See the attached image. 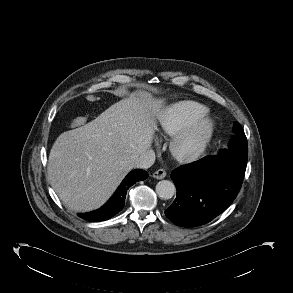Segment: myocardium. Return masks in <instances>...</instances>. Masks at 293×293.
Segmentation results:
<instances>
[{
	"mask_svg": "<svg viewBox=\"0 0 293 293\" xmlns=\"http://www.w3.org/2000/svg\"><path fill=\"white\" fill-rule=\"evenodd\" d=\"M215 129L214 121L203 116L176 133L170 143L172 156L181 163L197 160L207 148Z\"/></svg>",
	"mask_w": 293,
	"mask_h": 293,
	"instance_id": "myocardium-1",
	"label": "myocardium"
}]
</instances>
